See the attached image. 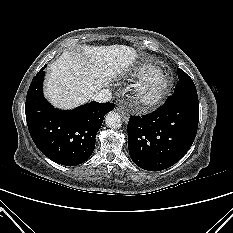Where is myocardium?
Instances as JSON below:
<instances>
[{"label":"myocardium","instance_id":"obj_1","mask_svg":"<svg viewBox=\"0 0 233 233\" xmlns=\"http://www.w3.org/2000/svg\"><path fill=\"white\" fill-rule=\"evenodd\" d=\"M169 87L167 76L160 70L148 74L138 86L137 94L140 104L145 108L156 106L165 96Z\"/></svg>","mask_w":233,"mask_h":233}]
</instances>
